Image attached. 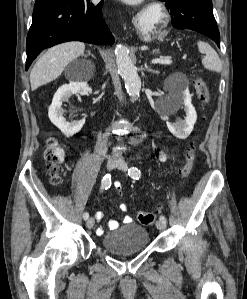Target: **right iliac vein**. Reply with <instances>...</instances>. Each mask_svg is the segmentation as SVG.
<instances>
[{
	"label": "right iliac vein",
	"instance_id": "obj_1",
	"mask_svg": "<svg viewBox=\"0 0 247 299\" xmlns=\"http://www.w3.org/2000/svg\"><path fill=\"white\" fill-rule=\"evenodd\" d=\"M117 161L118 159L115 156L108 157L107 164H106L107 169L108 170L113 169L116 166ZM94 223H95L94 218L91 217L87 220L86 227L88 229H91L94 226Z\"/></svg>",
	"mask_w": 247,
	"mask_h": 299
}]
</instances>
